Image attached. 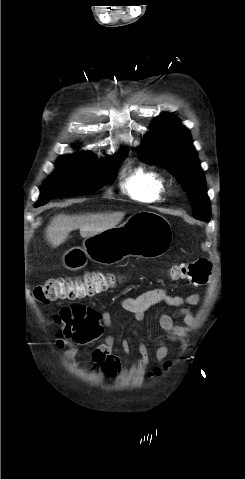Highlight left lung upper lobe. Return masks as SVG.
Masks as SVG:
<instances>
[{
	"mask_svg": "<svg viewBox=\"0 0 245 479\" xmlns=\"http://www.w3.org/2000/svg\"><path fill=\"white\" fill-rule=\"evenodd\" d=\"M152 132L137 148L143 162L167 168L187 192L196 219L209 221L211 207L204 173L189 131L171 114L158 116Z\"/></svg>",
	"mask_w": 245,
	"mask_h": 479,
	"instance_id": "obj_1",
	"label": "left lung upper lobe"
}]
</instances>
